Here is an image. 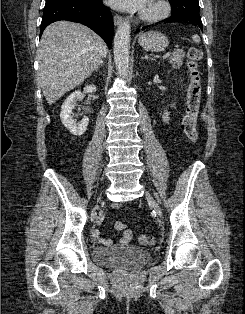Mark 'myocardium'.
Returning a JSON list of instances; mask_svg holds the SVG:
<instances>
[{
    "instance_id": "obj_1",
    "label": "myocardium",
    "mask_w": 245,
    "mask_h": 314,
    "mask_svg": "<svg viewBox=\"0 0 245 314\" xmlns=\"http://www.w3.org/2000/svg\"><path fill=\"white\" fill-rule=\"evenodd\" d=\"M149 3L156 5L154 12H142L141 19L146 22H157L166 18L171 12V5L168 0H149Z\"/></svg>"
}]
</instances>
